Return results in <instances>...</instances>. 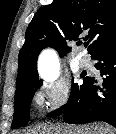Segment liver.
Wrapping results in <instances>:
<instances>
[{"instance_id": "6515ba94", "label": "liver", "mask_w": 116, "mask_h": 134, "mask_svg": "<svg viewBox=\"0 0 116 134\" xmlns=\"http://www.w3.org/2000/svg\"><path fill=\"white\" fill-rule=\"evenodd\" d=\"M24 134H113V131L108 125L80 128L58 124L37 127Z\"/></svg>"}]
</instances>
